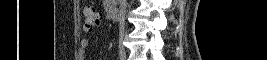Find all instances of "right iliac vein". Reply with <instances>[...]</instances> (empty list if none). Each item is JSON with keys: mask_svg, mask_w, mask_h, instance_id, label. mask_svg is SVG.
<instances>
[{"mask_svg": "<svg viewBox=\"0 0 267 60\" xmlns=\"http://www.w3.org/2000/svg\"><path fill=\"white\" fill-rule=\"evenodd\" d=\"M125 56H126L125 53L122 52V53H121V57H122L123 60H125Z\"/></svg>", "mask_w": 267, "mask_h": 60, "instance_id": "63e3f726", "label": "right iliac vein"}]
</instances>
